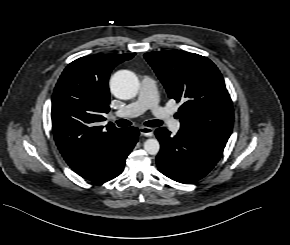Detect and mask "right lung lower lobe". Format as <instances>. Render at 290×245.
Segmentation results:
<instances>
[{"label": "right lung lower lobe", "instance_id": "98d812e1", "mask_svg": "<svg viewBox=\"0 0 290 245\" xmlns=\"http://www.w3.org/2000/svg\"><path fill=\"white\" fill-rule=\"evenodd\" d=\"M122 134L123 143L120 146L97 167L79 175L87 180L103 183L121 174L127 156L138 141L139 131L136 127H128L124 128Z\"/></svg>", "mask_w": 290, "mask_h": 245}]
</instances>
